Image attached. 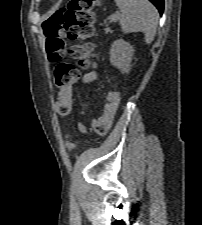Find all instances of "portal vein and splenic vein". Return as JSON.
Instances as JSON below:
<instances>
[{
    "mask_svg": "<svg viewBox=\"0 0 202 225\" xmlns=\"http://www.w3.org/2000/svg\"><path fill=\"white\" fill-rule=\"evenodd\" d=\"M119 18V13H117L116 15L112 16L110 19L111 21H116Z\"/></svg>",
    "mask_w": 202,
    "mask_h": 225,
    "instance_id": "obj_1",
    "label": "portal vein and splenic vein"
}]
</instances>
